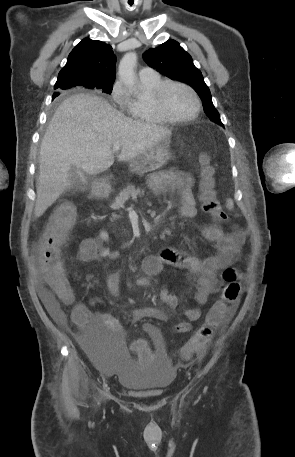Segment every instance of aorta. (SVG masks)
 <instances>
[{
	"label": "aorta",
	"mask_w": 295,
	"mask_h": 457,
	"mask_svg": "<svg viewBox=\"0 0 295 457\" xmlns=\"http://www.w3.org/2000/svg\"><path fill=\"white\" fill-rule=\"evenodd\" d=\"M137 64V55L135 52L126 53L118 68L119 79L130 89L135 90V72L134 69Z\"/></svg>",
	"instance_id": "1"
}]
</instances>
